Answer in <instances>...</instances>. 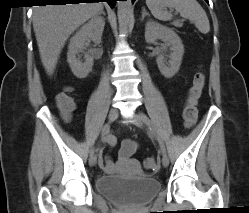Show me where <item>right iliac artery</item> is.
I'll return each instance as SVG.
<instances>
[{
    "label": "right iliac artery",
    "instance_id": "right-iliac-artery-1",
    "mask_svg": "<svg viewBox=\"0 0 249 213\" xmlns=\"http://www.w3.org/2000/svg\"><path fill=\"white\" fill-rule=\"evenodd\" d=\"M110 132V125L109 124H105L104 127L102 128V132H101V136L104 137L105 135H107ZM95 152V148L92 147L90 150V154H94Z\"/></svg>",
    "mask_w": 249,
    "mask_h": 213
}]
</instances>
